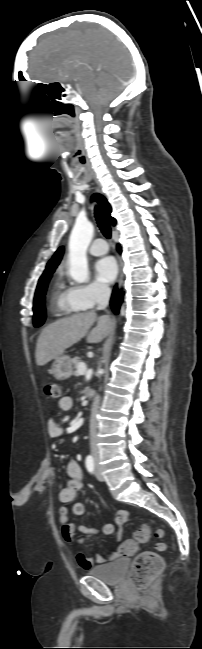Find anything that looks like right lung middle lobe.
I'll use <instances>...</instances> for the list:
<instances>
[{"mask_svg":"<svg viewBox=\"0 0 202 649\" xmlns=\"http://www.w3.org/2000/svg\"><path fill=\"white\" fill-rule=\"evenodd\" d=\"M52 273L53 272L42 275L38 281L33 302V324L35 327L43 325L46 319L45 294Z\"/></svg>","mask_w":202,"mask_h":649,"instance_id":"1","label":"right lung middle lobe"}]
</instances>
